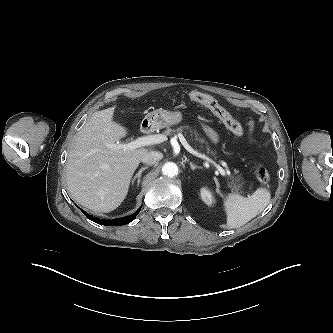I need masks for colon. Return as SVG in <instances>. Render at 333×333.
<instances>
[{"label":"colon","instance_id":"colon-1","mask_svg":"<svg viewBox=\"0 0 333 333\" xmlns=\"http://www.w3.org/2000/svg\"><path fill=\"white\" fill-rule=\"evenodd\" d=\"M190 99L201 103L211 110V112L224 124V126L234 135L242 136L244 131L241 124L235 120L230 113L225 110L214 98L209 95L199 92L191 91L188 93ZM255 176L260 183H267L270 180L269 171L264 167H258L255 170Z\"/></svg>","mask_w":333,"mask_h":333}]
</instances>
